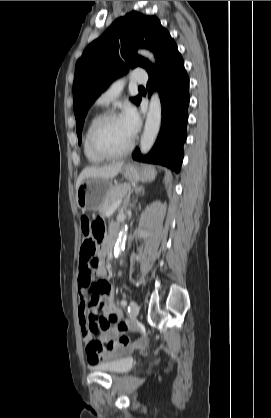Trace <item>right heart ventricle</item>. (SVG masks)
I'll use <instances>...</instances> for the list:
<instances>
[{
  "mask_svg": "<svg viewBox=\"0 0 271 418\" xmlns=\"http://www.w3.org/2000/svg\"><path fill=\"white\" fill-rule=\"evenodd\" d=\"M98 117H99L98 114L91 117V119L89 120V122H88V124L85 128L84 136H83V151H84L85 157L87 158V160L90 163H93V164H98V163H101L105 160L104 158L99 157L98 155H96L91 150L90 145H89V133H90V130H91L93 124L98 119Z\"/></svg>",
  "mask_w": 271,
  "mask_h": 418,
  "instance_id": "right-heart-ventricle-1",
  "label": "right heart ventricle"
}]
</instances>
